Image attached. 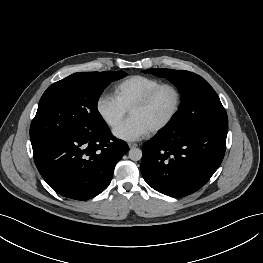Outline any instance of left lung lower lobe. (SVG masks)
Here are the masks:
<instances>
[{"label":"left lung lower lobe","mask_w":263,"mask_h":263,"mask_svg":"<svg viewBox=\"0 0 263 263\" xmlns=\"http://www.w3.org/2000/svg\"><path fill=\"white\" fill-rule=\"evenodd\" d=\"M227 132L228 125L189 133L163 129L143 145L141 172L144 180L156 191L171 197L196 192L220 166Z\"/></svg>","instance_id":"0a47b994"}]
</instances>
